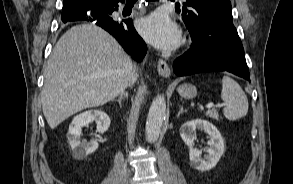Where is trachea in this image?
I'll return each mask as SVG.
<instances>
[{"instance_id":"3493384b","label":"trachea","mask_w":293,"mask_h":184,"mask_svg":"<svg viewBox=\"0 0 293 184\" xmlns=\"http://www.w3.org/2000/svg\"><path fill=\"white\" fill-rule=\"evenodd\" d=\"M148 1H156V0H148ZM136 2V0H127V4H129V3H135Z\"/></svg>"}]
</instances>
